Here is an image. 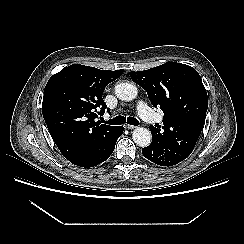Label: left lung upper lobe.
Masks as SVG:
<instances>
[{"label":"left lung upper lobe","mask_w":244,"mask_h":244,"mask_svg":"<svg viewBox=\"0 0 244 244\" xmlns=\"http://www.w3.org/2000/svg\"><path fill=\"white\" fill-rule=\"evenodd\" d=\"M135 83L147 91L154 107L164 112L163 126H149L159 165L172 166L186 159L194 149L208 108L206 89L191 66L167 62L130 72Z\"/></svg>","instance_id":"5c2ea615"}]
</instances>
